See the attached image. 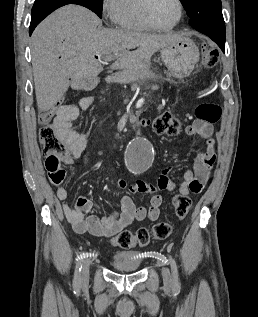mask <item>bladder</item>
I'll use <instances>...</instances> for the list:
<instances>
[{"label":"bladder","instance_id":"obj_1","mask_svg":"<svg viewBox=\"0 0 258 317\" xmlns=\"http://www.w3.org/2000/svg\"><path fill=\"white\" fill-rule=\"evenodd\" d=\"M143 258L139 251L116 252L111 256L112 265L124 271H134L140 268Z\"/></svg>","mask_w":258,"mask_h":317}]
</instances>
